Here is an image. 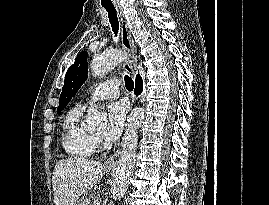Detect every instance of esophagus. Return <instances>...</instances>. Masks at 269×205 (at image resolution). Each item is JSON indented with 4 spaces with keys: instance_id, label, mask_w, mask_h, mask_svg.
Masks as SVG:
<instances>
[{
    "instance_id": "1",
    "label": "esophagus",
    "mask_w": 269,
    "mask_h": 205,
    "mask_svg": "<svg viewBox=\"0 0 269 205\" xmlns=\"http://www.w3.org/2000/svg\"><path fill=\"white\" fill-rule=\"evenodd\" d=\"M117 12L120 18V23H121V41H122V47L128 56V58L124 61L123 63V69L124 71L130 75L132 78H135L136 72L132 66L131 63V57L135 55V47L132 42V36L131 32L128 26L127 19L120 7H117ZM121 154V148H119L116 152L113 153L106 161L105 165H115L118 161V158L120 157Z\"/></svg>"
}]
</instances>
